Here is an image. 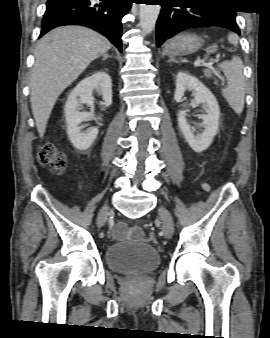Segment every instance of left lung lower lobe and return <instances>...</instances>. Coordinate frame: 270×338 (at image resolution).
<instances>
[{
	"label": "left lung lower lobe",
	"instance_id": "left-lung-lower-lobe-1",
	"mask_svg": "<svg viewBox=\"0 0 270 338\" xmlns=\"http://www.w3.org/2000/svg\"><path fill=\"white\" fill-rule=\"evenodd\" d=\"M162 6L156 24L157 46L177 33L199 26H219L240 34L236 10L225 0H157Z\"/></svg>",
	"mask_w": 270,
	"mask_h": 338
}]
</instances>
